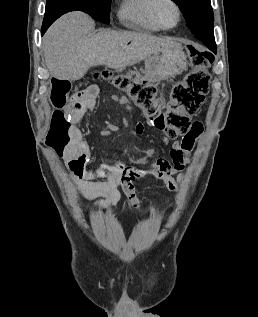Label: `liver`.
Listing matches in <instances>:
<instances>
[{"instance_id":"liver-1","label":"liver","mask_w":258,"mask_h":317,"mask_svg":"<svg viewBox=\"0 0 258 317\" xmlns=\"http://www.w3.org/2000/svg\"><path fill=\"white\" fill-rule=\"evenodd\" d=\"M94 26L93 18L80 10L67 12L51 24L43 36L50 74L78 80L90 66L106 64L109 68H121L181 44L172 36L158 38L150 32L131 30H101L91 36Z\"/></svg>"}]
</instances>
